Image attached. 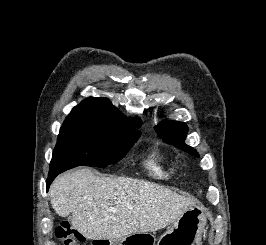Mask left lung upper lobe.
Returning <instances> with one entry per match:
<instances>
[{
    "label": "left lung upper lobe",
    "mask_w": 266,
    "mask_h": 245,
    "mask_svg": "<svg viewBox=\"0 0 266 245\" xmlns=\"http://www.w3.org/2000/svg\"><path fill=\"white\" fill-rule=\"evenodd\" d=\"M154 128L164 142L173 144L177 148L182 149L193 156L199 157L196 150L184 143L188 131V127L185 123L172 120L163 121Z\"/></svg>",
    "instance_id": "left-lung-upper-lobe-1"
}]
</instances>
